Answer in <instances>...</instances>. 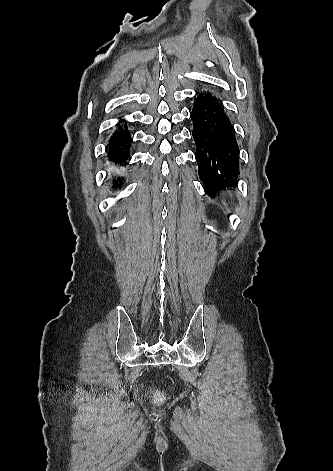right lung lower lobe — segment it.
I'll list each match as a JSON object with an SVG mask.
<instances>
[{
    "mask_svg": "<svg viewBox=\"0 0 333 471\" xmlns=\"http://www.w3.org/2000/svg\"><path fill=\"white\" fill-rule=\"evenodd\" d=\"M131 136L127 127L124 128L119 127L118 131H116L110 139V146L108 151L109 160L113 162V164L118 165L119 167L122 165L126 166V159L130 157V145H131ZM118 181L123 183L124 177H117V185ZM114 187V186H113Z\"/></svg>",
    "mask_w": 333,
    "mask_h": 471,
    "instance_id": "right-lung-lower-lobe-1",
    "label": "right lung lower lobe"
}]
</instances>
